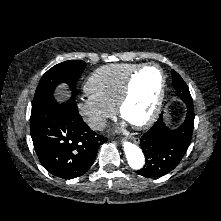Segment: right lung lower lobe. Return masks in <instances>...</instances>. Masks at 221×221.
<instances>
[{"label": "right lung lower lobe", "instance_id": "1", "mask_svg": "<svg viewBox=\"0 0 221 221\" xmlns=\"http://www.w3.org/2000/svg\"><path fill=\"white\" fill-rule=\"evenodd\" d=\"M30 132L42 166L63 179L85 174L93 164L99 146L107 141L82 120L74 97L63 104L50 98L33 109Z\"/></svg>", "mask_w": 221, "mask_h": 221}]
</instances>
